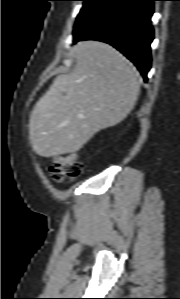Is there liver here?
<instances>
[{
    "label": "liver",
    "mask_w": 180,
    "mask_h": 299,
    "mask_svg": "<svg viewBox=\"0 0 180 299\" xmlns=\"http://www.w3.org/2000/svg\"><path fill=\"white\" fill-rule=\"evenodd\" d=\"M75 53L73 71L54 79L30 115V141L42 157L79 151L97 132L123 121L139 96V73L113 47L84 41Z\"/></svg>",
    "instance_id": "1"
}]
</instances>
